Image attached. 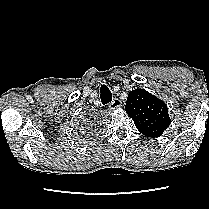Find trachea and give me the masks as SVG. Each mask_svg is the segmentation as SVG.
Returning <instances> with one entry per match:
<instances>
[{
	"label": "trachea",
	"mask_w": 209,
	"mask_h": 209,
	"mask_svg": "<svg viewBox=\"0 0 209 209\" xmlns=\"http://www.w3.org/2000/svg\"><path fill=\"white\" fill-rule=\"evenodd\" d=\"M100 97H101V102L103 105H106L108 103L112 102V93L108 86L102 85L100 88Z\"/></svg>",
	"instance_id": "3493384b"
}]
</instances>
